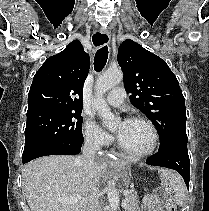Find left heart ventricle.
<instances>
[{"mask_svg":"<svg viewBox=\"0 0 209 211\" xmlns=\"http://www.w3.org/2000/svg\"><path fill=\"white\" fill-rule=\"evenodd\" d=\"M120 125L116 129L117 131ZM151 139V132L145 124L130 121L123 134L119 137V142L129 150L141 151L149 147Z\"/></svg>","mask_w":209,"mask_h":211,"instance_id":"1","label":"left heart ventricle"}]
</instances>
